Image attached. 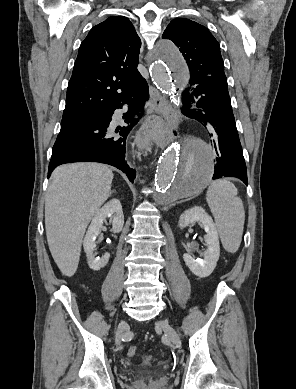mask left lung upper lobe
I'll return each mask as SVG.
<instances>
[{"label": "left lung upper lobe", "instance_id": "obj_1", "mask_svg": "<svg viewBox=\"0 0 296 389\" xmlns=\"http://www.w3.org/2000/svg\"><path fill=\"white\" fill-rule=\"evenodd\" d=\"M162 38L170 39L182 52L190 71V81L204 77H226L220 46L209 30L186 18L172 20Z\"/></svg>", "mask_w": 296, "mask_h": 389}]
</instances>
